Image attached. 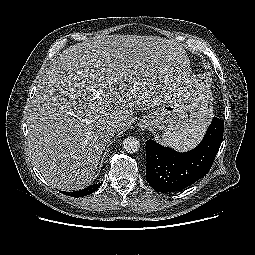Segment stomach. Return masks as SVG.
Listing matches in <instances>:
<instances>
[{"instance_id": "obj_1", "label": "stomach", "mask_w": 255, "mask_h": 255, "mask_svg": "<svg viewBox=\"0 0 255 255\" xmlns=\"http://www.w3.org/2000/svg\"><path fill=\"white\" fill-rule=\"evenodd\" d=\"M188 103L180 90H173L167 99L141 122L147 121L149 126L166 132L180 131L189 126L186 112Z\"/></svg>"}]
</instances>
